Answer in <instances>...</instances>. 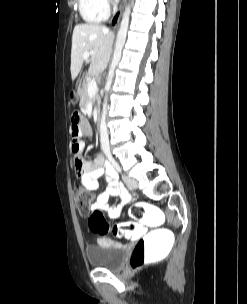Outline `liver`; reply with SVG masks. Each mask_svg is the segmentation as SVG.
<instances>
[{
  "label": "liver",
  "instance_id": "liver-1",
  "mask_svg": "<svg viewBox=\"0 0 247 304\" xmlns=\"http://www.w3.org/2000/svg\"><path fill=\"white\" fill-rule=\"evenodd\" d=\"M114 41V33L107 27L99 24H78L72 35L71 48V78L74 80L85 59L83 54L91 52L88 74L97 76L107 67Z\"/></svg>",
  "mask_w": 247,
  "mask_h": 304
}]
</instances>
